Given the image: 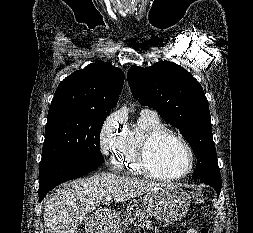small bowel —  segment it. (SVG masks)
Listing matches in <instances>:
<instances>
[{"label":"small bowel","mask_w":253,"mask_h":233,"mask_svg":"<svg viewBox=\"0 0 253 233\" xmlns=\"http://www.w3.org/2000/svg\"><path fill=\"white\" fill-rule=\"evenodd\" d=\"M186 233H198V232L196 230H194V229H190Z\"/></svg>","instance_id":"1"}]
</instances>
